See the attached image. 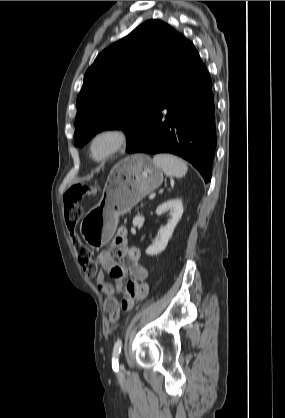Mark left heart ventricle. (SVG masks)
I'll list each match as a JSON object with an SVG mask.
<instances>
[{"instance_id": "1", "label": "left heart ventricle", "mask_w": 285, "mask_h": 418, "mask_svg": "<svg viewBox=\"0 0 285 418\" xmlns=\"http://www.w3.org/2000/svg\"><path fill=\"white\" fill-rule=\"evenodd\" d=\"M109 144H110L109 140H102V141L98 142L95 146V152L97 154H101L102 152H104L107 149Z\"/></svg>"}]
</instances>
